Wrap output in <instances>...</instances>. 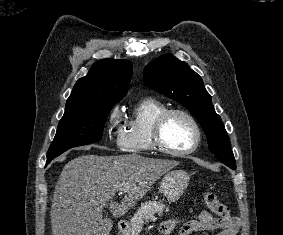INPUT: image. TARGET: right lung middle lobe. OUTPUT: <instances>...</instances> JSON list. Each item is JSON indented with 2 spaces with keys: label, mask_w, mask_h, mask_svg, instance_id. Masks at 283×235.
Masks as SVG:
<instances>
[{
  "label": "right lung middle lobe",
  "mask_w": 283,
  "mask_h": 235,
  "mask_svg": "<svg viewBox=\"0 0 283 235\" xmlns=\"http://www.w3.org/2000/svg\"><path fill=\"white\" fill-rule=\"evenodd\" d=\"M117 102L66 103L47 163L70 148L101 140L106 118Z\"/></svg>",
  "instance_id": "dd1d6c3e"
}]
</instances>
